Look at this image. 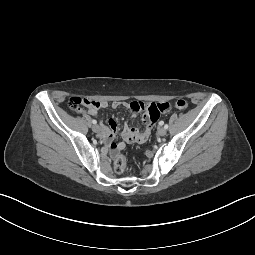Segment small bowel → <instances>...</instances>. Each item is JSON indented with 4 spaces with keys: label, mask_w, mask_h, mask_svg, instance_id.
<instances>
[{
    "label": "small bowel",
    "mask_w": 255,
    "mask_h": 255,
    "mask_svg": "<svg viewBox=\"0 0 255 255\" xmlns=\"http://www.w3.org/2000/svg\"><path fill=\"white\" fill-rule=\"evenodd\" d=\"M110 105L113 108L118 106H128L127 103L122 102H112ZM130 105L134 111L143 110L145 112L143 118L145 127L143 129H136L125 126L121 131L123 141L114 143L113 140L118 134V125L115 119L110 118L108 120V126H102L101 138L110 144L113 152L122 150L127 143H142L146 141L150 135L154 123L157 120H160L163 115H167L173 110V105L169 101H162L160 103H144L140 101H134ZM108 106L109 103L106 101H97V105L88 106V114L95 116L99 108H106Z\"/></svg>",
    "instance_id": "c3829d8e"
}]
</instances>
